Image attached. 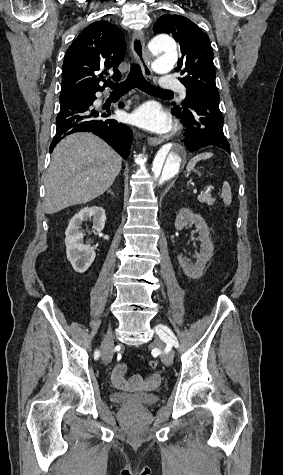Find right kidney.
<instances>
[{"label":"right kidney","mask_w":283,"mask_h":475,"mask_svg":"<svg viewBox=\"0 0 283 475\" xmlns=\"http://www.w3.org/2000/svg\"><path fill=\"white\" fill-rule=\"evenodd\" d=\"M92 218L93 230L96 232H102L105 222V210L98 208V206H92V208H82L78 214H75L69 222L67 230H65V245L67 259L71 261L73 269L83 273L95 259L94 247L91 245H85L83 243L84 234L80 230L82 222L90 220Z\"/></svg>","instance_id":"1"}]
</instances>
